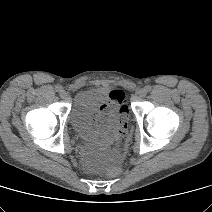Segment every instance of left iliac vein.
I'll return each instance as SVG.
<instances>
[{
  "label": "left iliac vein",
  "mask_w": 212,
  "mask_h": 212,
  "mask_svg": "<svg viewBox=\"0 0 212 212\" xmlns=\"http://www.w3.org/2000/svg\"><path fill=\"white\" fill-rule=\"evenodd\" d=\"M146 94H147V91H146L145 88H141V89H139V90L137 91V95H138L139 97H144V96H146Z\"/></svg>",
  "instance_id": "1"
}]
</instances>
